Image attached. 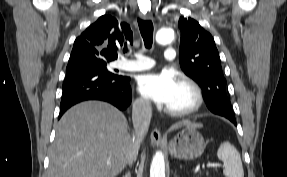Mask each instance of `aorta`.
<instances>
[{"mask_svg":"<svg viewBox=\"0 0 287 177\" xmlns=\"http://www.w3.org/2000/svg\"><path fill=\"white\" fill-rule=\"evenodd\" d=\"M174 39L172 29L163 28L156 33V41L159 44H169ZM150 177H165V160L161 151L156 152L150 166Z\"/></svg>","mask_w":287,"mask_h":177,"instance_id":"aorta-1","label":"aorta"}]
</instances>
